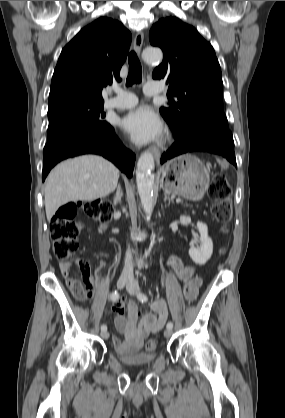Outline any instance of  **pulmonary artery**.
Here are the masks:
<instances>
[{"label": "pulmonary artery", "instance_id": "1", "mask_svg": "<svg viewBox=\"0 0 285 418\" xmlns=\"http://www.w3.org/2000/svg\"><path fill=\"white\" fill-rule=\"evenodd\" d=\"M112 91L115 93V96L110 97L105 101V108L121 110L130 108L138 102L137 97L132 93L123 91L119 88H112ZM163 91L161 86L151 82L147 83L144 87V93L147 96L159 95L163 93Z\"/></svg>", "mask_w": 285, "mask_h": 418}]
</instances>
